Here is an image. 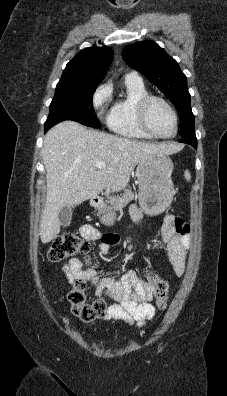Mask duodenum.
<instances>
[{
	"mask_svg": "<svg viewBox=\"0 0 227 396\" xmlns=\"http://www.w3.org/2000/svg\"><path fill=\"white\" fill-rule=\"evenodd\" d=\"M91 203L93 206L98 207V208H100L104 205L102 198L98 195H95L92 197Z\"/></svg>",
	"mask_w": 227,
	"mask_h": 396,
	"instance_id": "1",
	"label": "duodenum"
}]
</instances>
